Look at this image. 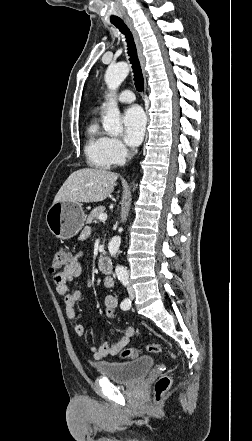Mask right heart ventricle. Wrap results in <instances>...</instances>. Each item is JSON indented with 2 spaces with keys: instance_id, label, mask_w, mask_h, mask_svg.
Instances as JSON below:
<instances>
[{
  "instance_id": "e07e8e85",
  "label": "right heart ventricle",
  "mask_w": 252,
  "mask_h": 441,
  "mask_svg": "<svg viewBox=\"0 0 252 441\" xmlns=\"http://www.w3.org/2000/svg\"><path fill=\"white\" fill-rule=\"evenodd\" d=\"M109 138L100 129L96 118H92L86 127L84 152L88 163L99 169H109L114 165L109 150Z\"/></svg>"
}]
</instances>
